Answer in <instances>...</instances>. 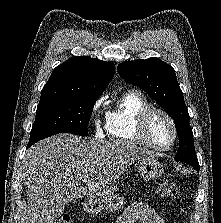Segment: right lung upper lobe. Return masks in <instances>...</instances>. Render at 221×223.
I'll return each mask as SVG.
<instances>
[{"instance_id":"1","label":"right lung upper lobe","mask_w":221,"mask_h":223,"mask_svg":"<svg viewBox=\"0 0 221 223\" xmlns=\"http://www.w3.org/2000/svg\"><path fill=\"white\" fill-rule=\"evenodd\" d=\"M113 62L75 56L57 66L42 89L40 101L99 98L114 75Z\"/></svg>"}]
</instances>
